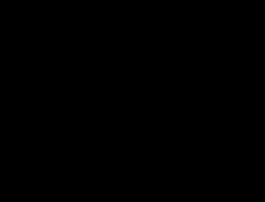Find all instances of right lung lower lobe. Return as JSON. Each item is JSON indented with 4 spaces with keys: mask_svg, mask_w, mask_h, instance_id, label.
Here are the masks:
<instances>
[{
    "mask_svg": "<svg viewBox=\"0 0 265 202\" xmlns=\"http://www.w3.org/2000/svg\"><path fill=\"white\" fill-rule=\"evenodd\" d=\"M79 96L83 120L90 122L97 118L99 121L80 134L54 131L52 138L81 157L92 158L108 149L118 124L128 117L130 106L123 101L120 84L115 80H87L82 84Z\"/></svg>",
    "mask_w": 265,
    "mask_h": 202,
    "instance_id": "1",
    "label": "right lung lower lobe"
}]
</instances>
